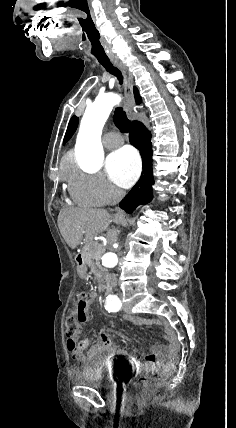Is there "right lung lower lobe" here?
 I'll use <instances>...</instances> for the list:
<instances>
[{
    "instance_id": "98d812e1",
    "label": "right lung lower lobe",
    "mask_w": 236,
    "mask_h": 428,
    "mask_svg": "<svg viewBox=\"0 0 236 428\" xmlns=\"http://www.w3.org/2000/svg\"><path fill=\"white\" fill-rule=\"evenodd\" d=\"M130 143L139 149L143 160V172L140 181L120 202L119 207L127 213L133 212L141 204L149 203L152 198V185L154 184L152 174V144L151 134L146 127L138 122L132 123V129L129 136Z\"/></svg>"
}]
</instances>
